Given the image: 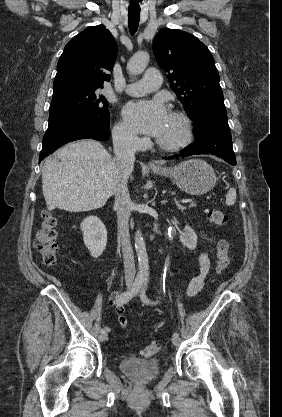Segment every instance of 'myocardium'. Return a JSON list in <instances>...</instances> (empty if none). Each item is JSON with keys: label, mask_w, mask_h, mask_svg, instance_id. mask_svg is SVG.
Masks as SVG:
<instances>
[{"label": "myocardium", "mask_w": 282, "mask_h": 417, "mask_svg": "<svg viewBox=\"0 0 282 417\" xmlns=\"http://www.w3.org/2000/svg\"><path fill=\"white\" fill-rule=\"evenodd\" d=\"M168 116L177 119L181 125V135L174 141H164L156 138L157 144L165 149H177L186 145L192 138V127L189 118L180 112L171 111Z\"/></svg>", "instance_id": "obj_1"}]
</instances>
